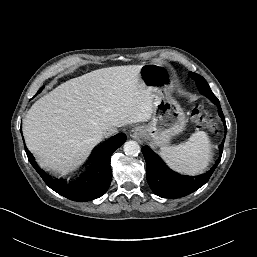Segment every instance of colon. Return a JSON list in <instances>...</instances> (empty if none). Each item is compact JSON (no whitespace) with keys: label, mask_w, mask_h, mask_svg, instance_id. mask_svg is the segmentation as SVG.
<instances>
[{"label":"colon","mask_w":257,"mask_h":257,"mask_svg":"<svg viewBox=\"0 0 257 257\" xmlns=\"http://www.w3.org/2000/svg\"><path fill=\"white\" fill-rule=\"evenodd\" d=\"M191 118L199 126L214 128L211 116L200 108L192 110Z\"/></svg>","instance_id":"obj_1"}]
</instances>
